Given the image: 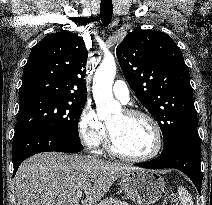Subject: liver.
Here are the masks:
<instances>
[{"label": "liver", "instance_id": "1", "mask_svg": "<svg viewBox=\"0 0 212 205\" xmlns=\"http://www.w3.org/2000/svg\"><path fill=\"white\" fill-rule=\"evenodd\" d=\"M136 169L91 156L43 152L25 160L16 173L18 205H79L78 191L85 192L84 205H94L115 180Z\"/></svg>", "mask_w": 212, "mask_h": 205}]
</instances>
